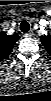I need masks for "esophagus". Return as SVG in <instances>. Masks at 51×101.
Here are the masks:
<instances>
[{
  "label": "esophagus",
  "instance_id": "esophagus-1",
  "mask_svg": "<svg viewBox=\"0 0 51 101\" xmlns=\"http://www.w3.org/2000/svg\"><path fill=\"white\" fill-rule=\"evenodd\" d=\"M24 36H25V37H31V36H33V31L30 30L29 32H26V33L24 34Z\"/></svg>",
  "mask_w": 51,
  "mask_h": 101
}]
</instances>
